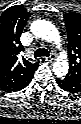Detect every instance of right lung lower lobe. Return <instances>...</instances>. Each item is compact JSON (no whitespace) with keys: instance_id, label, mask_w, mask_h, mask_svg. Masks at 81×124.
I'll return each instance as SVG.
<instances>
[{"instance_id":"right-lung-lower-lobe-1","label":"right lung lower lobe","mask_w":81,"mask_h":124,"mask_svg":"<svg viewBox=\"0 0 81 124\" xmlns=\"http://www.w3.org/2000/svg\"><path fill=\"white\" fill-rule=\"evenodd\" d=\"M33 74H34V73H33ZM33 74H32L24 83H22L20 86H18L17 88L12 89V90H10V91H7V92L19 91V90L25 88L26 86H28V84L31 82V80H32V78H33Z\"/></svg>"}]
</instances>
